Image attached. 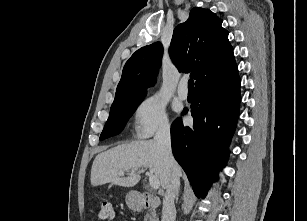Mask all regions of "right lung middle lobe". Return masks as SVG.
<instances>
[{"instance_id":"dd1d6c3e","label":"right lung middle lobe","mask_w":307,"mask_h":221,"mask_svg":"<svg viewBox=\"0 0 307 221\" xmlns=\"http://www.w3.org/2000/svg\"><path fill=\"white\" fill-rule=\"evenodd\" d=\"M146 93L130 96L112 104L109 118L100 135V140L119 134L132 116Z\"/></svg>"}]
</instances>
